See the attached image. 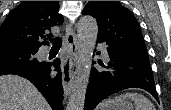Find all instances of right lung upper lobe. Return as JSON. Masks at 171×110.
<instances>
[{
    "instance_id": "right-lung-upper-lobe-1",
    "label": "right lung upper lobe",
    "mask_w": 171,
    "mask_h": 110,
    "mask_svg": "<svg viewBox=\"0 0 171 110\" xmlns=\"http://www.w3.org/2000/svg\"><path fill=\"white\" fill-rule=\"evenodd\" d=\"M58 1H23L6 17L0 28V48L21 47L38 50L51 27L60 25ZM51 33L47 37H52ZM13 69V68H12ZM10 70V69H8Z\"/></svg>"
}]
</instances>
